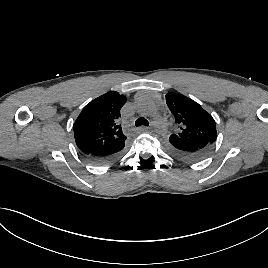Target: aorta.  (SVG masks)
<instances>
[{
    "mask_svg": "<svg viewBox=\"0 0 268 268\" xmlns=\"http://www.w3.org/2000/svg\"><path fill=\"white\" fill-rule=\"evenodd\" d=\"M136 106L139 113L151 118L155 122L153 134L156 137H163L166 134L165 120L158 113V105L149 94H142L136 100Z\"/></svg>",
    "mask_w": 268,
    "mask_h": 268,
    "instance_id": "1",
    "label": "aorta"
}]
</instances>
